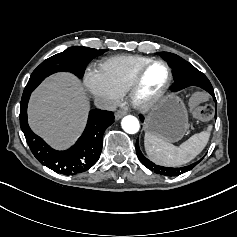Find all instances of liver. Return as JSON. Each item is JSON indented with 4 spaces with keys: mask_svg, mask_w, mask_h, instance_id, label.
<instances>
[{
    "mask_svg": "<svg viewBox=\"0 0 237 237\" xmlns=\"http://www.w3.org/2000/svg\"><path fill=\"white\" fill-rule=\"evenodd\" d=\"M88 109L82 84L71 75L57 74L33 93L29 104V123L51 145L64 148L81 131Z\"/></svg>",
    "mask_w": 237,
    "mask_h": 237,
    "instance_id": "1",
    "label": "liver"
}]
</instances>
